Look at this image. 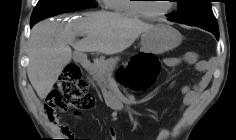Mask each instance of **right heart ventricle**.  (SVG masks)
<instances>
[{"instance_id":"e07e8e85","label":"right heart ventricle","mask_w":236,"mask_h":140,"mask_svg":"<svg viewBox=\"0 0 236 140\" xmlns=\"http://www.w3.org/2000/svg\"><path fill=\"white\" fill-rule=\"evenodd\" d=\"M133 1L134 0H108L106 3L110 9L117 13L129 16H139Z\"/></svg>"}]
</instances>
